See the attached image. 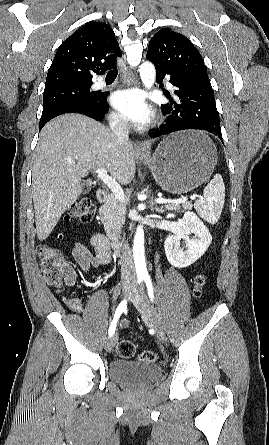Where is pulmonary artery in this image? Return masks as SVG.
Listing matches in <instances>:
<instances>
[{"label":"pulmonary artery","instance_id":"pulmonary-artery-1","mask_svg":"<svg viewBox=\"0 0 269 445\" xmlns=\"http://www.w3.org/2000/svg\"><path fill=\"white\" fill-rule=\"evenodd\" d=\"M105 86V82L103 81V80H99V81H97L95 84H94V87L95 88H102V87H104ZM167 86L169 87V88H172V85L168 82L167 83Z\"/></svg>","mask_w":269,"mask_h":445}]
</instances>
